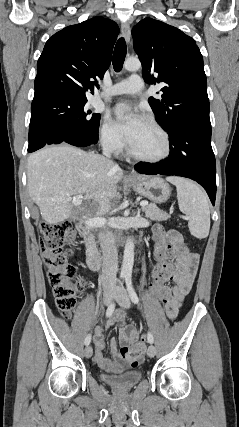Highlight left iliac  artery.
Returning <instances> with one entry per match:
<instances>
[{"label":"left iliac artery","instance_id":"1","mask_svg":"<svg viewBox=\"0 0 239 427\" xmlns=\"http://www.w3.org/2000/svg\"><path fill=\"white\" fill-rule=\"evenodd\" d=\"M125 281H126L127 291L129 293V296H130L132 302L135 304H138L139 298H138V296H137V294L133 288L131 276L130 275L126 276ZM147 339H148V342L151 344L154 342L153 335L150 332L148 333Z\"/></svg>","mask_w":239,"mask_h":427}]
</instances>
